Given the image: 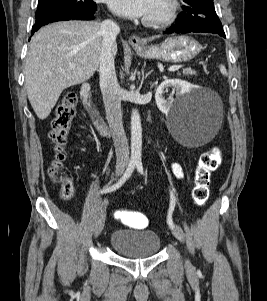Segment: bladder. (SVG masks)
Listing matches in <instances>:
<instances>
[{"instance_id":"31cf9c89","label":"bladder","mask_w":267,"mask_h":301,"mask_svg":"<svg viewBox=\"0 0 267 301\" xmlns=\"http://www.w3.org/2000/svg\"><path fill=\"white\" fill-rule=\"evenodd\" d=\"M110 246L125 258H144L158 253L161 239L152 230L120 229L112 233Z\"/></svg>"}]
</instances>
